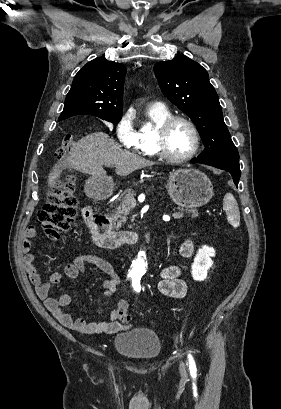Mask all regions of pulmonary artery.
<instances>
[{
    "mask_svg": "<svg viewBox=\"0 0 281 409\" xmlns=\"http://www.w3.org/2000/svg\"><path fill=\"white\" fill-rule=\"evenodd\" d=\"M156 108H157L158 110H161V109L163 108V105H162L161 103H158V104L156 105Z\"/></svg>",
    "mask_w": 281,
    "mask_h": 409,
    "instance_id": "obj_1",
    "label": "pulmonary artery"
}]
</instances>
